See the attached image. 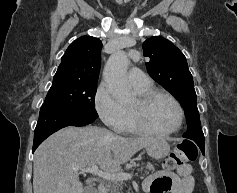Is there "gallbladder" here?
Here are the masks:
<instances>
[{"instance_id":"bac80fb5","label":"gallbladder","mask_w":237,"mask_h":193,"mask_svg":"<svg viewBox=\"0 0 237 193\" xmlns=\"http://www.w3.org/2000/svg\"><path fill=\"white\" fill-rule=\"evenodd\" d=\"M84 193H91V189L90 188H85Z\"/></svg>"}]
</instances>
